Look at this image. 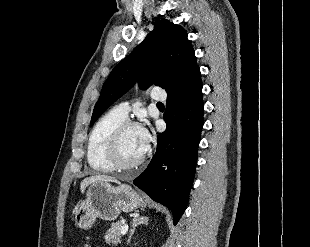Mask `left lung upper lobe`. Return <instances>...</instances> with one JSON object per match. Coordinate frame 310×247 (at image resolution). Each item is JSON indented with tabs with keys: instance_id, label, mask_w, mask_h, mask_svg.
I'll return each mask as SVG.
<instances>
[{
	"instance_id": "1",
	"label": "left lung upper lobe",
	"mask_w": 310,
	"mask_h": 247,
	"mask_svg": "<svg viewBox=\"0 0 310 247\" xmlns=\"http://www.w3.org/2000/svg\"><path fill=\"white\" fill-rule=\"evenodd\" d=\"M197 68L184 28L166 19L158 20L144 41L110 73L94 107L90 126L137 81L144 89L154 83L169 92Z\"/></svg>"
}]
</instances>
